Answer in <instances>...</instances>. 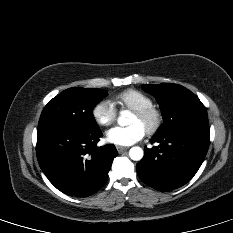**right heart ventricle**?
<instances>
[{
    "label": "right heart ventricle",
    "mask_w": 233,
    "mask_h": 233,
    "mask_svg": "<svg viewBox=\"0 0 233 233\" xmlns=\"http://www.w3.org/2000/svg\"><path fill=\"white\" fill-rule=\"evenodd\" d=\"M116 103L122 108L132 111L140 110L153 106V100L150 96L136 89H127L115 97Z\"/></svg>",
    "instance_id": "obj_1"
}]
</instances>
